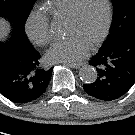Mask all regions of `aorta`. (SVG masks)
Instances as JSON below:
<instances>
[{
  "label": "aorta",
  "instance_id": "obj_1",
  "mask_svg": "<svg viewBox=\"0 0 135 135\" xmlns=\"http://www.w3.org/2000/svg\"><path fill=\"white\" fill-rule=\"evenodd\" d=\"M80 78L85 83H93L97 79V71L90 65H84L79 71Z\"/></svg>",
  "mask_w": 135,
  "mask_h": 135
}]
</instances>
